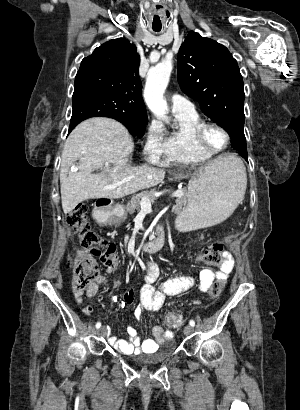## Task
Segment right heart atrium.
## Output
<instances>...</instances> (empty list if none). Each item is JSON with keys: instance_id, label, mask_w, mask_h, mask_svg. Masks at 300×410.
<instances>
[{"instance_id": "1", "label": "right heart atrium", "mask_w": 300, "mask_h": 410, "mask_svg": "<svg viewBox=\"0 0 300 410\" xmlns=\"http://www.w3.org/2000/svg\"><path fill=\"white\" fill-rule=\"evenodd\" d=\"M164 130L156 120H152L147 128L144 154L151 160H158L164 150Z\"/></svg>"}]
</instances>
